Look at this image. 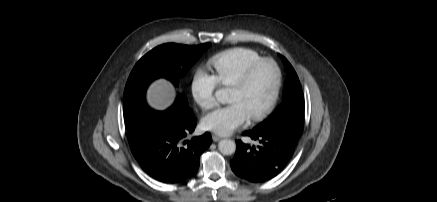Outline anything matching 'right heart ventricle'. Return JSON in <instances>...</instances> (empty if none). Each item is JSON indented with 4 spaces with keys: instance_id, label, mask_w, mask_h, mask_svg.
I'll return each instance as SVG.
<instances>
[{
    "instance_id": "right-heart-ventricle-1",
    "label": "right heart ventricle",
    "mask_w": 437,
    "mask_h": 202,
    "mask_svg": "<svg viewBox=\"0 0 437 202\" xmlns=\"http://www.w3.org/2000/svg\"><path fill=\"white\" fill-rule=\"evenodd\" d=\"M260 58L261 55L252 49L237 47L215 54L209 65L219 84L231 86L251 63Z\"/></svg>"
}]
</instances>
